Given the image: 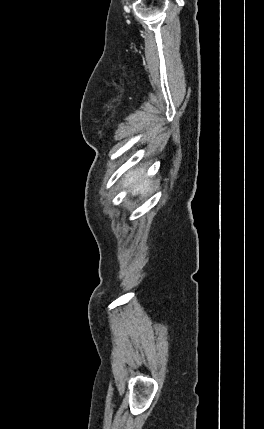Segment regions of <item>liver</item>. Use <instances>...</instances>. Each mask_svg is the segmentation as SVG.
Here are the masks:
<instances>
[{"mask_svg":"<svg viewBox=\"0 0 264 429\" xmlns=\"http://www.w3.org/2000/svg\"><path fill=\"white\" fill-rule=\"evenodd\" d=\"M145 171V167L129 171L123 180V188L130 187V193L133 196H145L151 193L154 189V182L150 179H141Z\"/></svg>","mask_w":264,"mask_h":429,"instance_id":"6515ba94","label":"liver"}]
</instances>
